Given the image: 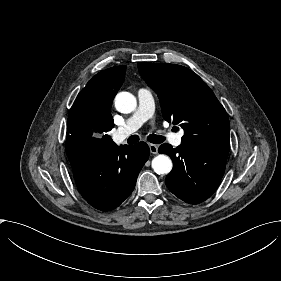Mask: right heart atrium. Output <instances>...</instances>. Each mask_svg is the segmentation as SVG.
I'll return each instance as SVG.
<instances>
[{"label":"right heart atrium","mask_w":281,"mask_h":281,"mask_svg":"<svg viewBox=\"0 0 281 281\" xmlns=\"http://www.w3.org/2000/svg\"><path fill=\"white\" fill-rule=\"evenodd\" d=\"M130 96L126 93H119L116 97V106L120 105L123 109H126L129 105Z\"/></svg>","instance_id":"1"}]
</instances>
